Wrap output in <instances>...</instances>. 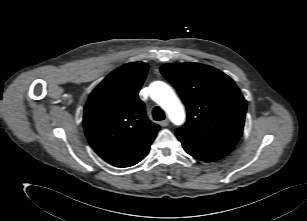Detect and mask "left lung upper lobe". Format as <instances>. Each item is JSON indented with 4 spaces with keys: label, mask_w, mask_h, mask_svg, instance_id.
I'll use <instances>...</instances> for the list:
<instances>
[{
    "label": "left lung upper lobe",
    "mask_w": 307,
    "mask_h": 221,
    "mask_svg": "<svg viewBox=\"0 0 307 221\" xmlns=\"http://www.w3.org/2000/svg\"><path fill=\"white\" fill-rule=\"evenodd\" d=\"M160 71L187 108V122L176 133L236 145L243 132L247 103L229 76L193 62L164 64Z\"/></svg>",
    "instance_id": "obj_1"
}]
</instances>
